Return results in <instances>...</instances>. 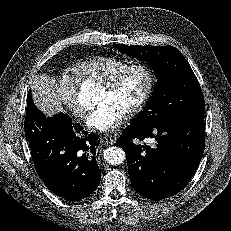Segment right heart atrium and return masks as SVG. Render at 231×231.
I'll list each match as a JSON object with an SVG mask.
<instances>
[{
    "instance_id": "1",
    "label": "right heart atrium",
    "mask_w": 231,
    "mask_h": 231,
    "mask_svg": "<svg viewBox=\"0 0 231 231\" xmlns=\"http://www.w3.org/2000/svg\"><path fill=\"white\" fill-rule=\"evenodd\" d=\"M53 93L57 101L75 116L79 118L85 116L86 111L78 100L77 83L72 76L66 73L58 75L54 83Z\"/></svg>"
}]
</instances>
